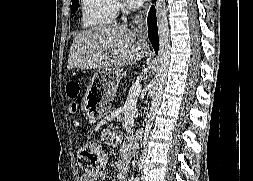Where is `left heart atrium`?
I'll return each instance as SVG.
<instances>
[{
  "label": "left heart atrium",
  "mask_w": 253,
  "mask_h": 181,
  "mask_svg": "<svg viewBox=\"0 0 253 181\" xmlns=\"http://www.w3.org/2000/svg\"><path fill=\"white\" fill-rule=\"evenodd\" d=\"M145 0H126V4L131 8H138L142 6Z\"/></svg>",
  "instance_id": "obj_1"
}]
</instances>
